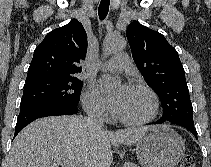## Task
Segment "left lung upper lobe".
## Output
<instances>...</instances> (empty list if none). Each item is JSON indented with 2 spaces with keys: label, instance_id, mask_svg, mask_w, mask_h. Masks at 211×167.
<instances>
[{
  "label": "left lung upper lobe",
  "instance_id": "5c2ea615",
  "mask_svg": "<svg viewBox=\"0 0 211 167\" xmlns=\"http://www.w3.org/2000/svg\"><path fill=\"white\" fill-rule=\"evenodd\" d=\"M126 35L136 66L162 102L161 121L194 125L185 71L175 48L138 21L128 25Z\"/></svg>",
  "mask_w": 211,
  "mask_h": 167
}]
</instances>
